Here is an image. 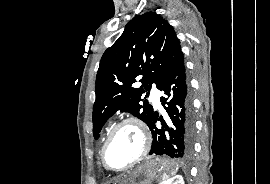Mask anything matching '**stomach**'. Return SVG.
Returning <instances> with one entry per match:
<instances>
[{
	"label": "stomach",
	"instance_id": "0dacf381",
	"mask_svg": "<svg viewBox=\"0 0 270 184\" xmlns=\"http://www.w3.org/2000/svg\"><path fill=\"white\" fill-rule=\"evenodd\" d=\"M178 169L174 161L166 159L148 160L122 176L114 184H152L164 176H171Z\"/></svg>",
	"mask_w": 270,
	"mask_h": 184
}]
</instances>
